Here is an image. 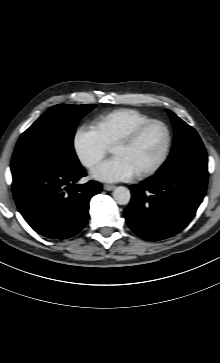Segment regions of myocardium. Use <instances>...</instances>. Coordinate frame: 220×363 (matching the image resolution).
<instances>
[{
	"label": "myocardium",
	"instance_id": "f54148a6",
	"mask_svg": "<svg viewBox=\"0 0 220 363\" xmlns=\"http://www.w3.org/2000/svg\"><path fill=\"white\" fill-rule=\"evenodd\" d=\"M153 125L161 126L163 128V130L165 131V135H166L165 145H164L163 151L161 153V156L157 160V162L154 165H152L151 167L136 174V177L139 179L146 178V177H149V176L155 174L166 163V161L169 157V154H170L171 146H172V132H171L170 127L164 121H162L160 119H151L144 123L139 124L138 126L133 128L129 132L125 133L120 138H118L115 141V143L113 144V147L130 145V144L134 143L146 129H148L150 126H153Z\"/></svg>",
	"mask_w": 220,
	"mask_h": 363
}]
</instances>
